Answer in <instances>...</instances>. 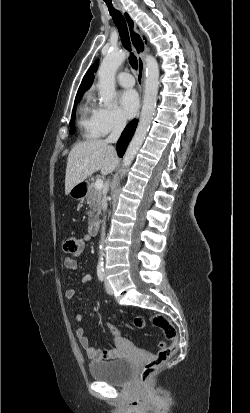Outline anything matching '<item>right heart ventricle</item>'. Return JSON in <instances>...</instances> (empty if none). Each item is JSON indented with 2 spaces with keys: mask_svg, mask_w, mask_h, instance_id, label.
<instances>
[{
  "mask_svg": "<svg viewBox=\"0 0 250 413\" xmlns=\"http://www.w3.org/2000/svg\"><path fill=\"white\" fill-rule=\"evenodd\" d=\"M95 115L96 108L91 103V95L87 94L85 101L79 109L78 125L82 137L92 139L100 136L96 125Z\"/></svg>",
  "mask_w": 250,
  "mask_h": 413,
  "instance_id": "right-heart-ventricle-1",
  "label": "right heart ventricle"
}]
</instances>
